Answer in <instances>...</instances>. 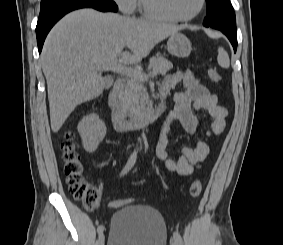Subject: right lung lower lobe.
Wrapping results in <instances>:
<instances>
[{"label": "right lung lower lobe", "instance_id": "1", "mask_svg": "<svg viewBox=\"0 0 283 245\" xmlns=\"http://www.w3.org/2000/svg\"><path fill=\"white\" fill-rule=\"evenodd\" d=\"M80 8H94L102 12H116L118 10L117 5L112 0H72L40 10L36 27L39 53L53 25L68 12Z\"/></svg>", "mask_w": 283, "mask_h": 245}]
</instances>
